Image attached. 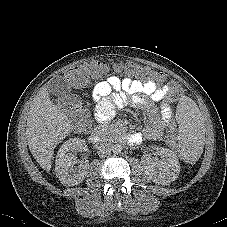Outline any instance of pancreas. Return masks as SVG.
Returning a JSON list of instances; mask_svg holds the SVG:
<instances>
[{
  "mask_svg": "<svg viewBox=\"0 0 227 227\" xmlns=\"http://www.w3.org/2000/svg\"><path fill=\"white\" fill-rule=\"evenodd\" d=\"M101 130H100V127H98V129L96 130L97 133H99Z\"/></svg>",
  "mask_w": 227,
  "mask_h": 227,
  "instance_id": "1",
  "label": "pancreas"
}]
</instances>
